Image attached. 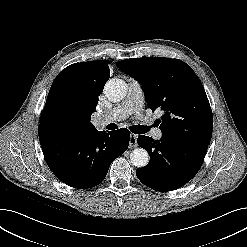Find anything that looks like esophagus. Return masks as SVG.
<instances>
[{
    "mask_svg": "<svg viewBox=\"0 0 247 247\" xmlns=\"http://www.w3.org/2000/svg\"><path fill=\"white\" fill-rule=\"evenodd\" d=\"M138 146L137 144V135L136 134H131L130 135V140H129V148L134 149Z\"/></svg>",
    "mask_w": 247,
    "mask_h": 247,
    "instance_id": "1",
    "label": "esophagus"
}]
</instances>
